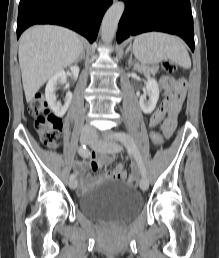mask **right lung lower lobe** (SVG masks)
<instances>
[{"mask_svg":"<svg viewBox=\"0 0 219 258\" xmlns=\"http://www.w3.org/2000/svg\"><path fill=\"white\" fill-rule=\"evenodd\" d=\"M113 0H20L17 38L34 24L68 27L93 43L102 17Z\"/></svg>","mask_w":219,"mask_h":258,"instance_id":"right-lung-lower-lobe-1","label":"right lung lower lobe"}]
</instances>
